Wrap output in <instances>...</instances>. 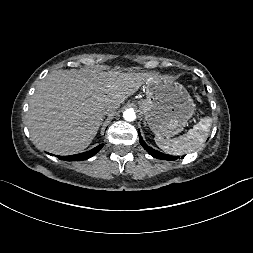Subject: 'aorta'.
I'll use <instances>...</instances> for the list:
<instances>
[{
  "label": "aorta",
  "mask_w": 253,
  "mask_h": 253,
  "mask_svg": "<svg viewBox=\"0 0 253 253\" xmlns=\"http://www.w3.org/2000/svg\"><path fill=\"white\" fill-rule=\"evenodd\" d=\"M123 117L126 121H134L136 118V114H135L134 110L127 109L124 111Z\"/></svg>",
  "instance_id": "762f6f07"
}]
</instances>
